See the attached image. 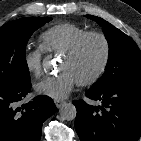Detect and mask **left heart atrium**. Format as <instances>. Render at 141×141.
I'll list each match as a JSON object with an SVG mask.
<instances>
[{"mask_svg": "<svg viewBox=\"0 0 141 141\" xmlns=\"http://www.w3.org/2000/svg\"><path fill=\"white\" fill-rule=\"evenodd\" d=\"M76 83L77 80L70 72L63 71L43 78L35 84L34 89L40 95L60 100L71 93Z\"/></svg>", "mask_w": 141, "mask_h": 141, "instance_id": "obj_1", "label": "left heart atrium"}]
</instances>
